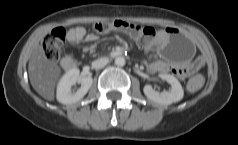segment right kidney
I'll use <instances>...</instances> for the list:
<instances>
[{
  "label": "right kidney",
  "instance_id": "obj_1",
  "mask_svg": "<svg viewBox=\"0 0 238 145\" xmlns=\"http://www.w3.org/2000/svg\"><path fill=\"white\" fill-rule=\"evenodd\" d=\"M79 69H69L60 79L57 85V100L62 104H73L80 101L90 89L93 79L90 76L79 78ZM81 83V87L77 92H72V86L77 82Z\"/></svg>",
  "mask_w": 238,
  "mask_h": 145
}]
</instances>
